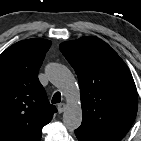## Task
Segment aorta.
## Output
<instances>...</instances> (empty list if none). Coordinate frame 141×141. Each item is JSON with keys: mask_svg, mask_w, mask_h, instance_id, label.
Returning a JSON list of instances; mask_svg holds the SVG:
<instances>
[{"mask_svg": "<svg viewBox=\"0 0 141 141\" xmlns=\"http://www.w3.org/2000/svg\"><path fill=\"white\" fill-rule=\"evenodd\" d=\"M50 82L64 94L68 104L63 113V123L68 130L77 129L82 122L80 92L72 72L63 64L50 63L46 67Z\"/></svg>", "mask_w": 141, "mask_h": 141, "instance_id": "1", "label": "aorta"}]
</instances>
